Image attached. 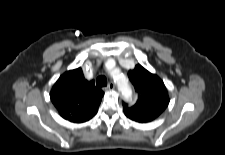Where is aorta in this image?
Returning a JSON list of instances; mask_svg holds the SVG:
<instances>
[{"mask_svg": "<svg viewBox=\"0 0 225 155\" xmlns=\"http://www.w3.org/2000/svg\"><path fill=\"white\" fill-rule=\"evenodd\" d=\"M114 78H115V82L117 84L118 90L121 92L123 97L129 98L131 95V89L125 76L118 73L114 75Z\"/></svg>", "mask_w": 225, "mask_h": 155, "instance_id": "aorta-1", "label": "aorta"}]
</instances>
